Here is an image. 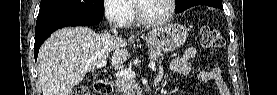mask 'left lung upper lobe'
Masks as SVG:
<instances>
[{
	"label": "left lung upper lobe",
	"mask_w": 277,
	"mask_h": 95,
	"mask_svg": "<svg viewBox=\"0 0 277 95\" xmlns=\"http://www.w3.org/2000/svg\"><path fill=\"white\" fill-rule=\"evenodd\" d=\"M196 5H208L216 8H223L222 0H176L175 12L180 13Z\"/></svg>",
	"instance_id": "5c2ea615"
}]
</instances>
